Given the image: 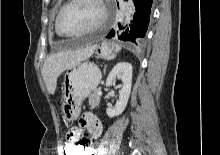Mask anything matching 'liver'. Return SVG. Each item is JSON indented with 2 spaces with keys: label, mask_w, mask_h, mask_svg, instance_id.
I'll use <instances>...</instances> for the list:
<instances>
[{
  "label": "liver",
  "mask_w": 220,
  "mask_h": 155,
  "mask_svg": "<svg viewBox=\"0 0 220 155\" xmlns=\"http://www.w3.org/2000/svg\"><path fill=\"white\" fill-rule=\"evenodd\" d=\"M95 47H87L78 50H62L50 55L44 62L42 76L50 94H54L57 86V78L68 69L82 63L94 52Z\"/></svg>",
  "instance_id": "1"
}]
</instances>
